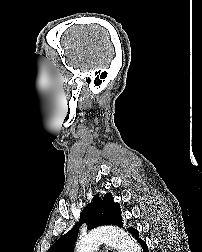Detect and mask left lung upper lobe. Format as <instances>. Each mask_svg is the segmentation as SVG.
Instances as JSON below:
<instances>
[{
  "label": "left lung upper lobe",
  "mask_w": 202,
  "mask_h": 252,
  "mask_svg": "<svg viewBox=\"0 0 202 252\" xmlns=\"http://www.w3.org/2000/svg\"><path fill=\"white\" fill-rule=\"evenodd\" d=\"M87 223L88 229L102 225L123 226L119 203L113 201L111 193H107L103 199L99 195L93 197V201L80 215L79 222L61 238H59L48 252H73L77 239L79 226Z\"/></svg>",
  "instance_id": "obj_1"
}]
</instances>
